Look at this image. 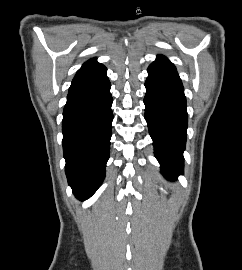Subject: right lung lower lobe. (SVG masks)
Masks as SVG:
<instances>
[{
  "label": "right lung lower lobe",
  "mask_w": 242,
  "mask_h": 270,
  "mask_svg": "<svg viewBox=\"0 0 242 270\" xmlns=\"http://www.w3.org/2000/svg\"><path fill=\"white\" fill-rule=\"evenodd\" d=\"M106 67L95 63L75 75L63 111L65 172L76 197L99 188L109 159L113 114Z\"/></svg>",
  "instance_id": "98d812e1"
}]
</instances>
